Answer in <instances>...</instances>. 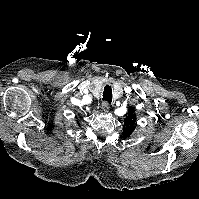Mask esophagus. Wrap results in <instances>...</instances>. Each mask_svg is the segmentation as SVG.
Here are the masks:
<instances>
[{"label": "esophagus", "mask_w": 199, "mask_h": 199, "mask_svg": "<svg viewBox=\"0 0 199 199\" xmlns=\"http://www.w3.org/2000/svg\"><path fill=\"white\" fill-rule=\"evenodd\" d=\"M109 108H110V105H109L108 102L102 103V109H103L104 112H108Z\"/></svg>", "instance_id": "34e87169"}]
</instances>
